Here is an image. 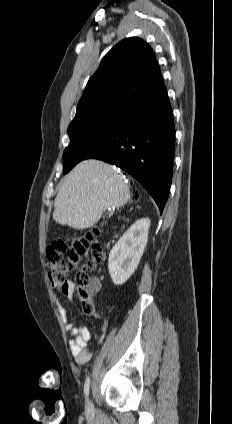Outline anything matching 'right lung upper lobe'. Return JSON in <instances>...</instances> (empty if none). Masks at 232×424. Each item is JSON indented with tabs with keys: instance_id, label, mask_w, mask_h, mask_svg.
<instances>
[{
	"instance_id": "cb5924a9",
	"label": "right lung upper lobe",
	"mask_w": 232,
	"mask_h": 424,
	"mask_svg": "<svg viewBox=\"0 0 232 424\" xmlns=\"http://www.w3.org/2000/svg\"><path fill=\"white\" fill-rule=\"evenodd\" d=\"M164 86L152 48L139 38H127L102 59L89 79L76 113L90 107L134 103Z\"/></svg>"
}]
</instances>
